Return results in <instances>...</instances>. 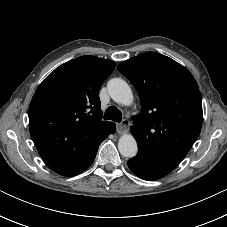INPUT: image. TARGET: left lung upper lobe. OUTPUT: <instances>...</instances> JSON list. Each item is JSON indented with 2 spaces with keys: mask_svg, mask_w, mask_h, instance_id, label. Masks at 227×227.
I'll return each mask as SVG.
<instances>
[{
  "mask_svg": "<svg viewBox=\"0 0 227 227\" xmlns=\"http://www.w3.org/2000/svg\"><path fill=\"white\" fill-rule=\"evenodd\" d=\"M136 88L141 113L130 130L138 153L177 166L200 134L202 98L192 74L173 59L147 52L120 63Z\"/></svg>",
  "mask_w": 227,
  "mask_h": 227,
  "instance_id": "5c2ea615",
  "label": "left lung upper lobe"
}]
</instances>
